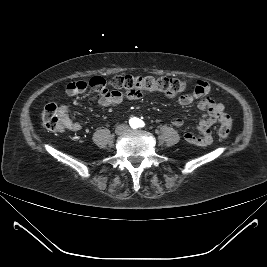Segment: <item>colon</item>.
<instances>
[{
  "label": "colon",
  "instance_id": "obj_1",
  "mask_svg": "<svg viewBox=\"0 0 267 267\" xmlns=\"http://www.w3.org/2000/svg\"><path fill=\"white\" fill-rule=\"evenodd\" d=\"M113 90L129 95L141 97L143 95H174L182 92L185 83L177 78L156 77L152 75H119L111 80ZM43 124L54 132L63 130L62 121L57 112V106L53 103L46 105L43 115ZM218 136L225 139L232 128V120L229 115L222 113L219 116Z\"/></svg>",
  "mask_w": 267,
  "mask_h": 267
}]
</instances>
